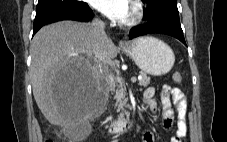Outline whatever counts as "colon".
Here are the masks:
<instances>
[{"instance_id":"obj_1","label":"colon","mask_w":227,"mask_h":142,"mask_svg":"<svg viewBox=\"0 0 227 142\" xmlns=\"http://www.w3.org/2000/svg\"><path fill=\"white\" fill-rule=\"evenodd\" d=\"M174 82H180L181 81V75L179 73L174 74L173 76ZM45 142H55L52 139H47Z\"/></svg>"}]
</instances>
